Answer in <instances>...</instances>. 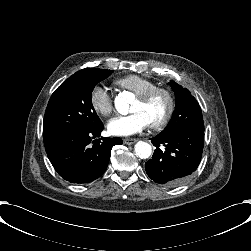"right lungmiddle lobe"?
<instances>
[{"mask_svg": "<svg viewBox=\"0 0 251 251\" xmlns=\"http://www.w3.org/2000/svg\"><path fill=\"white\" fill-rule=\"evenodd\" d=\"M113 70L82 69L64 81L52 94L44 116L43 138L71 129L94 130L103 124L91 102L95 85Z\"/></svg>", "mask_w": 251, "mask_h": 251, "instance_id": "obj_1", "label": "right lung middle lobe"}]
</instances>
